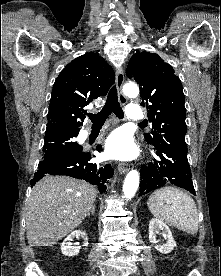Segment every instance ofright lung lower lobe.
I'll list each match as a JSON object with an SVG mask.
<instances>
[{
    "label": "right lung lower lobe",
    "mask_w": 221,
    "mask_h": 276,
    "mask_svg": "<svg viewBox=\"0 0 221 276\" xmlns=\"http://www.w3.org/2000/svg\"><path fill=\"white\" fill-rule=\"evenodd\" d=\"M101 149L100 145L96 147L97 151ZM90 159V152L82 151V148L71 153L43 159L39 162V169L31 180V186L33 187L45 174L67 175L97 185L98 190L103 193L106 191L108 179L113 176V169L109 164L89 163Z\"/></svg>",
    "instance_id": "98d812e1"
}]
</instances>
